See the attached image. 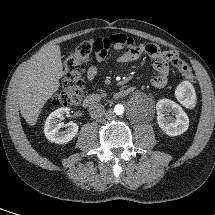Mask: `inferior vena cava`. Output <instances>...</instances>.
Segmentation results:
<instances>
[{
	"label": "inferior vena cava",
	"mask_w": 215,
	"mask_h": 215,
	"mask_svg": "<svg viewBox=\"0 0 215 215\" xmlns=\"http://www.w3.org/2000/svg\"><path fill=\"white\" fill-rule=\"evenodd\" d=\"M90 116L94 119L101 118L105 114V108L102 104L96 103L90 107Z\"/></svg>",
	"instance_id": "inferior-vena-cava-1"
}]
</instances>
